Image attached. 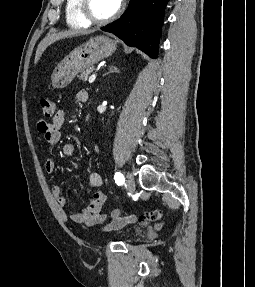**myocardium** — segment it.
<instances>
[{
    "mask_svg": "<svg viewBox=\"0 0 255 287\" xmlns=\"http://www.w3.org/2000/svg\"><path fill=\"white\" fill-rule=\"evenodd\" d=\"M90 33H95V32H90ZM90 39H95V38H90ZM125 39H130V38H125ZM132 48H141V47H132Z\"/></svg>",
    "mask_w": 255,
    "mask_h": 287,
    "instance_id": "f54148a6",
    "label": "myocardium"
}]
</instances>
